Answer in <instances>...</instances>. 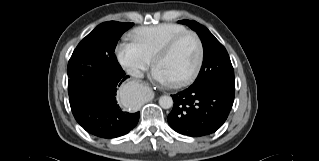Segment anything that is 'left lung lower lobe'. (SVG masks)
<instances>
[{
	"label": "left lung lower lobe",
	"instance_id": "0a47b994",
	"mask_svg": "<svg viewBox=\"0 0 319 161\" xmlns=\"http://www.w3.org/2000/svg\"><path fill=\"white\" fill-rule=\"evenodd\" d=\"M174 106L169 125L178 133L200 137L218 130L226 121L234 91L215 85H191L172 95Z\"/></svg>",
	"mask_w": 319,
	"mask_h": 161
}]
</instances>
